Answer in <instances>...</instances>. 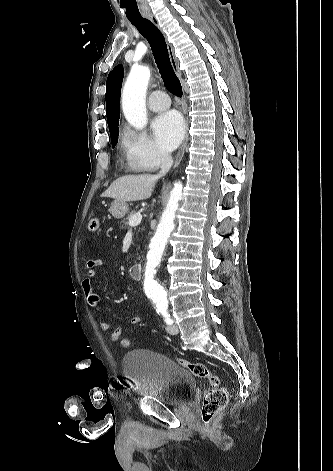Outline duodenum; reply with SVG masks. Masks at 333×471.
I'll list each match as a JSON object with an SVG mask.
<instances>
[{"label": "duodenum", "mask_w": 333, "mask_h": 471, "mask_svg": "<svg viewBox=\"0 0 333 471\" xmlns=\"http://www.w3.org/2000/svg\"><path fill=\"white\" fill-rule=\"evenodd\" d=\"M129 274L133 279H140L142 275V266L140 264H133L129 268Z\"/></svg>", "instance_id": "1"}]
</instances>
